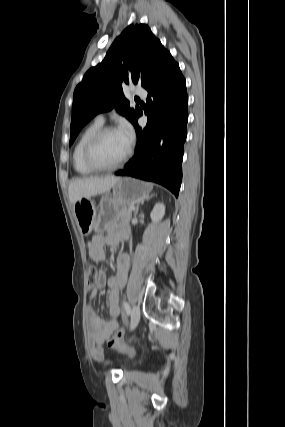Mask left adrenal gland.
<instances>
[{
  "instance_id": "1",
  "label": "left adrenal gland",
  "mask_w": 285,
  "mask_h": 427,
  "mask_svg": "<svg viewBox=\"0 0 285 427\" xmlns=\"http://www.w3.org/2000/svg\"><path fill=\"white\" fill-rule=\"evenodd\" d=\"M151 197H152V196H151ZM145 200H149V198H147V199H142V200L137 204L136 210H135V212H134V215H135V216L138 214L139 209H140V206L144 204V201H145Z\"/></svg>"
}]
</instances>
